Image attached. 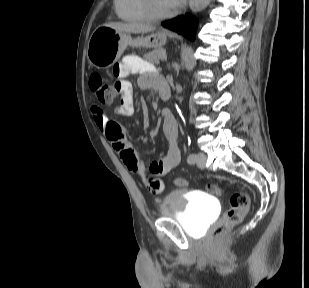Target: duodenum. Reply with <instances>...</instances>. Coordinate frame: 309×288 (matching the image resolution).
<instances>
[{
	"label": "duodenum",
	"instance_id": "obj_1",
	"mask_svg": "<svg viewBox=\"0 0 309 288\" xmlns=\"http://www.w3.org/2000/svg\"><path fill=\"white\" fill-rule=\"evenodd\" d=\"M160 96L163 100H168L170 98V90L166 81H162L159 86Z\"/></svg>",
	"mask_w": 309,
	"mask_h": 288
}]
</instances>
